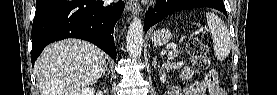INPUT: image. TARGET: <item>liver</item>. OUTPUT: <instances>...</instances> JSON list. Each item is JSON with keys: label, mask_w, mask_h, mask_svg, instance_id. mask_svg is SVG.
I'll list each match as a JSON object with an SVG mask.
<instances>
[{"label": "liver", "mask_w": 277, "mask_h": 95, "mask_svg": "<svg viewBox=\"0 0 277 95\" xmlns=\"http://www.w3.org/2000/svg\"><path fill=\"white\" fill-rule=\"evenodd\" d=\"M104 52L78 39L48 45L34 65L40 95H76L94 84L106 68Z\"/></svg>", "instance_id": "obj_1"}]
</instances>
